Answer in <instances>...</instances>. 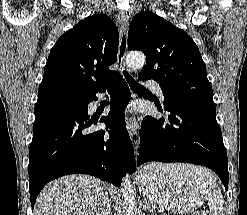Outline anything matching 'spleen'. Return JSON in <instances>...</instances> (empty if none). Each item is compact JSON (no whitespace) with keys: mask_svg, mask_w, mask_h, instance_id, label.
Wrapping results in <instances>:
<instances>
[{"mask_svg":"<svg viewBox=\"0 0 247 215\" xmlns=\"http://www.w3.org/2000/svg\"><path fill=\"white\" fill-rule=\"evenodd\" d=\"M212 190L213 191H211L208 195L209 215H223V210H224L223 196L219 190H214V189Z\"/></svg>","mask_w":247,"mask_h":215,"instance_id":"spleen-1","label":"spleen"}]
</instances>
